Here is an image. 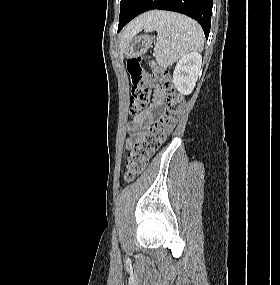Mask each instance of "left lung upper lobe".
<instances>
[{
	"label": "left lung upper lobe",
	"instance_id": "left-lung-upper-lobe-1",
	"mask_svg": "<svg viewBox=\"0 0 280 285\" xmlns=\"http://www.w3.org/2000/svg\"><path fill=\"white\" fill-rule=\"evenodd\" d=\"M136 1L137 0H121V9H120L118 28L126 21Z\"/></svg>",
	"mask_w": 280,
	"mask_h": 285
}]
</instances>
